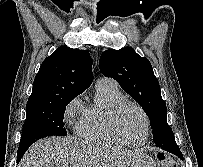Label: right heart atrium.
Returning a JSON list of instances; mask_svg holds the SVG:
<instances>
[{
  "label": "right heart atrium",
  "mask_w": 203,
  "mask_h": 167,
  "mask_svg": "<svg viewBox=\"0 0 203 167\" xmlns=\"http://www.w3.org/2000/svg\"><path fill=\"white\" fill-rule=\"evenodd\" d=\"M82 112V102L79 96L73 98L65 107L64 120L70 126L77 125V120Z\"/></svg>",
  "instance_id": "obj_1"
}]
</instances>
